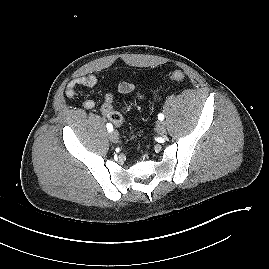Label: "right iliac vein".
Masks as SVG:
<instances>
[{
  "instance_id": "63e3f726",
  "label": "right iliac vein",
  "mask_w": 269,
  "mask_h": 269,
  "mask_svg": "<svg viewBox=\"0 0 269 269\" xmlns=\"http://www.w3.org/2000/svg\"><path fill=\"white\" fill-rule=\"evenodd\" d=\"M109 139H110L111 142H113V143H117L118 140H119V134H118V132H116V131H111V132L109 133Z\"/></svg>"
}]
</instances>
